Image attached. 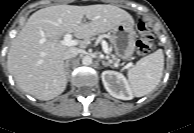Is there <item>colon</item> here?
<instances>
[{
	"mask_svg": "<svg viewBox=\"0 0 194 133\" xmlns=\"http://www.w3.org/2000/svg\"><path fill=\"white\" fill-rule=\"evenodd\" d=\"M137 31L139 33V40L136 44L137 52L140 55H145L152 49L153 34L151 29L141 19L137 21Z\"/></svg>",
	"mask_w": 194,
	"mask_h": 133,
	"instance_id": "colon-1",
	"label": "colon"
}]
</instances>
